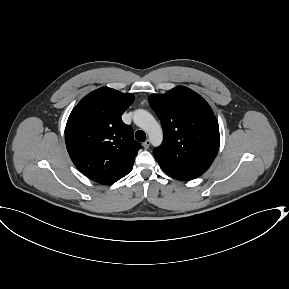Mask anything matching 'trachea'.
Masks as SVG:
<instances>
[{
    "label": "trachea",
    "mask_w": 289,
    "mask_h": 289,
    "mask_svg": "<svg viewBox=\"0 0 289 289\" xmlns=\"http://www.w3.org/2000/svg\"><path fill=\"white\" fill-rule=\"evenodd\" d=\"M135 139L137 141H140V142H144L146 141V134L144 131L142 130H138L136 133H135Z\"/></svg>",
    "instance_id": "1"
}]
</instances>
